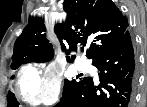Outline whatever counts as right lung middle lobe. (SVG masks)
<instances>
[{
	"label": "right lung middle lobe",
	"mask_w": 147,
	"mask_h": 107,
	"mask_svg": "<svg viewBox=\"0 0 147 107\" xmlns=\"http://www.w3.org/2000/svg\"><path fill=\"white\" fill-rule=\"evenodd\" d=\"M29 62H34V60H29L25 63H29ZM23 63V64H25ZM20 65H16V66H11L12 69H16L18 68ZM13 78V77H12ZM83 80L80 79L79 81H76V80H65L64 82V89H63V97L66 96L68 93L72 92L79 84L80 82ZM62 97V98H63ZM61 98V99H62ZM7 100H8V106H11V107H18L19 103L17 102L14 94L12 93H9L7 95Z\"/></svg>",
	"instance_id": "right-lung-middle-lobe-1"
}]
</instances>
